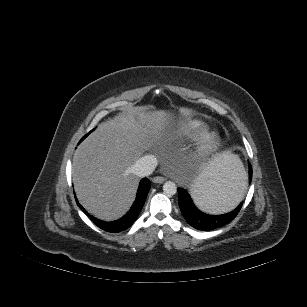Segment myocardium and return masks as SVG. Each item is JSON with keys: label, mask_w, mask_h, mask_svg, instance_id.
Listing matches in <instances>:
<instances>
[{"label": "myocardium", "mask_w": 307, "mask_h": 307, "mask_svg": "<svg viewBox=\"0 0 307 307\" xmlns=\"http://www.w3.org/2000/svg\"><path fill=\"white\" fill-rule=\"evenodd\" d=\"M216 141V135L212 131H205L197 140L196 146L191 153L192 159H200L205 157L212 149Z\"/></svg>", "instance_id": "f54148a6"}]
</instances>
